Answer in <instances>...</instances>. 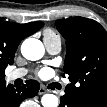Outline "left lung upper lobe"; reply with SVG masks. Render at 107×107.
Listing matches in <instances>:
<instances>
[{
  "mask_svg": "<svg viewBox=\"0 0 107 107\" xmlns=\"http://www.w3.org/2000/svg\"><path fill=\"white\" fill-rule=\"evenodd\" d=\"M66 39L64 73L74 94L107 89V32L95 20L72 17L56 21ZM65 74L63 77H65Z\"/></svg>",
  "mask_w": 107,
  "mask_h": 107,
  "instance_id": "1",
  "label": "left lung upper lobe"
}]
</instances>
